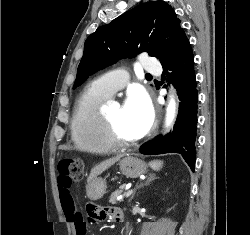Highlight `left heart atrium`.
<instances>
[{
  "mask_svg": "<svg viewBox=\"0 0 250 235\" xmlns=\"http://www.w3.org/2000/svg\"><path fill=\"white\" fill-rule=\"evenodd\" d=\"M124 110L139 137L150 129L154 112L151 101L144 91H131L125 101Z\"/></svg>",
  "mask_w": 250,
  "mask_h": 235,
  "instance_id": "39dd6f15",
  "label": "left heart atrium"
}]
</instances>
